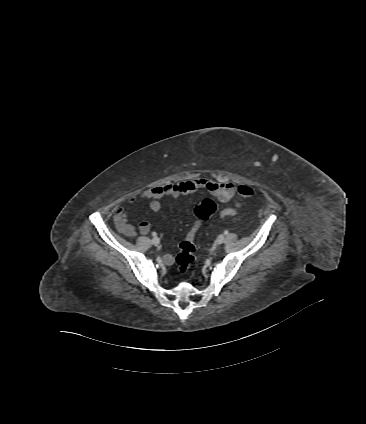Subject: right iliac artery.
Here are the masks:
<instances>
[{
  "mask_svg": "<svg viewBox=\"0 0 366 424\" xmlns=\"http://www.w3.org/2000/svg\"><path fill=\"white\" fill-rule=\"evenodd\" d=\"M156 235H157V234H156L155 232H153V233H152V236H154V237H155Z\"/></svg>",
  "mask_w": 366,
  "mask_h": 424,
  "instance_id": "1",
  "label": "right iliac artery"
}]
</instances>
